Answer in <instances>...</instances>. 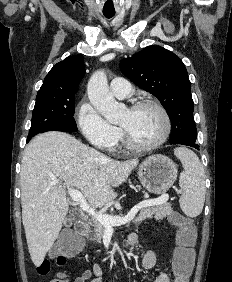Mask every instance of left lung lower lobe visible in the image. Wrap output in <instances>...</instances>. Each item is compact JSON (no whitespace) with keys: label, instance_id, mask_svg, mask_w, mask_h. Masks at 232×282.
<instances>
[{"label":"left lung lower lobe","instance_id":"obj_1","mask_svg":"<svg viewBox=\"0 0 232 282\" xmlns=\"http://www.w3.org/2000/svg\"><path fill=\"white\" fill-rule=\"evenodd\" d=\"M170 144H182V145H187V146H191V147H194L196 149H199V145L196 144L195 142H183L173 133H172V136H171Z\"/></svg>","mask_w":232,"mask_h":282}]
</instances>
